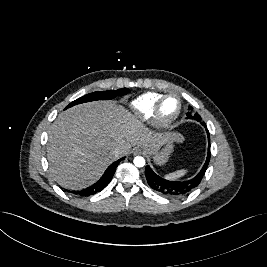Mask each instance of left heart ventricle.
I'll use <instances>...</instances> for the list:
<instances>
[{"instance_id":"obj_1","label":"left heart ventricle","mask_w":267,"mask_h":267,"mask_svg":"<svg viewBox=\"0 0 267 267\" xmlns=\"http://www.w3.org/2000/svg\"><path fill=\"white\" fill-rule=\"evenodd\" d=\"M178 110V101L175 98L166 100L160 110L163 119L171 118Z\"/></svg>"}]
</instances>
